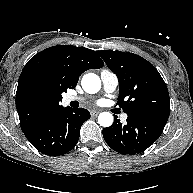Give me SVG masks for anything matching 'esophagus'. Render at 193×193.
I'll list each match as a JSON object with an SVG mask.
<instances>
[{"instance_id":"1","label":"esophagus","mask_w":193,"mask_h":193,"mask_svg":"<svg viewBox=\"0 0 193 193\" xmlns=\"http://www.w3.org/2000/svg\"><path fill=\"white\" fill-rule=\"evenodd\" d=\"M90 113H91V116L96 117L100 113V111L99 110H93Z\"/></svg>"}]
</instances>
